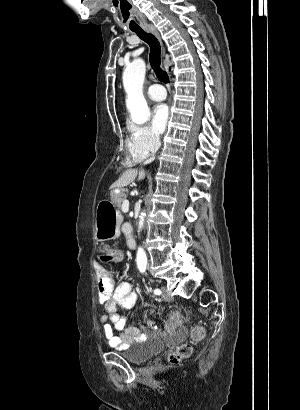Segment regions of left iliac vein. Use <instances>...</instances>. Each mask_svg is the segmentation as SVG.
Returning a JSON list of instances; mask_svg holds the SVG:
<instances>
[{"mask_svg":"<svg viewBox=\"0 0 300 410\" xmlns=\"http://www.w3.org/2000/svg\"><path fill=\"white\" fill-rule=\"evenodd\" d=\"M161 289H162V298H163L165 301H171V300H172V297H171L170 294L167 292V289H166L165 287H162Z\"/></svg>","mask_w":300,"mask_h":410,"instance_id":"4c4485c4","label":"left iliac vein"}]
</instances>
